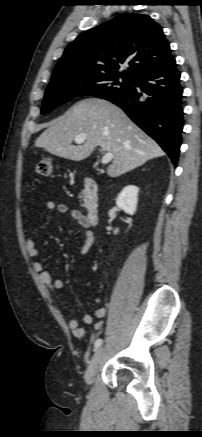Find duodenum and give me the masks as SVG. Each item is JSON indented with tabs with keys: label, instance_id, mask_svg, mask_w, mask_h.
<instances>
[{
	"label": "duodenum",
	"instance_id": "duodenum-1",
	"mask_svg": "<svg viewBox=\"0 0 202 437\" xmlns=\"http://www.w3.org/2000/svg\"><path fill=\"white\" fill-rule=\"evenodd\" d=\"M83 196L88 222L91 226H96L99 222L98 185L91 177L83 180Z\"/></svg>",
	"mask_w": 202,
	"mask_h": 437
}]
</instances>
